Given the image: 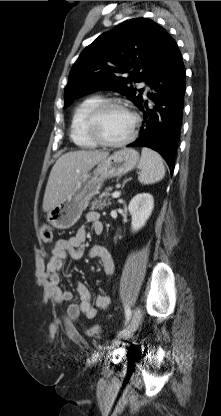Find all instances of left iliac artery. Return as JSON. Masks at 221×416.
<instances>
[{
  "label": "left iliac artery",
  "mask_w": 221,
  "mask_h": 416,
  "mask_svg": "<svg viewBox=\"0 0 221 416\" xmlns=\"http://www.w3.org/2000/svg\"><path fill=\"white\" fill-rule=\"evenodd\" d=\"M125 315H126V322H128L131 318V310H130V307L128 306L125 307Z\"/></svg>",
  "instance_id": "obj_1"
}]
</instances>
